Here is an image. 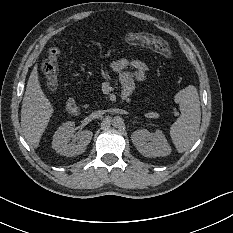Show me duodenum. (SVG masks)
<instances>
[{"instance_id":"1","label":"duodenum","mask_w":233,"mask_h":233,"mask_svg":"<svg viewBox=\"0 0 233 233\" xmlns=\"http://www.w3.org/2000/svg\"><path fill=\"white\" fill-rule=\"evenodd\" d=\"M66 110L72 116L79 114V107L73 97L68 98L66 102Z\"/></svg>"}]
</instances>
